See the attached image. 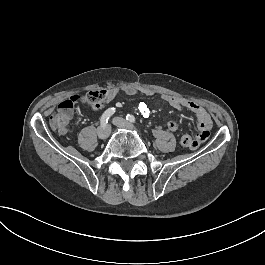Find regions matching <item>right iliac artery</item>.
<instances>
[{
    "instance_id": "right-iliac-artery-1",
    "label": "right iliac artery",
    "mask_w": 265,
    "mask_h": 265,
    "mask_svg": "<svg viewBox=\"0 0 265 265\" xmlns=\"http://www.w3.org/2000/svg\"><path fill=\"white\" fill-rule=\"evenodd\" d=\"M115 113V108H108L101 116L100 124L102 127H105L108 123L109 118Z\"/></svg>"
}]
</instances>
